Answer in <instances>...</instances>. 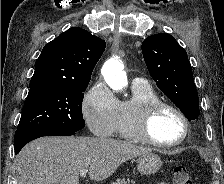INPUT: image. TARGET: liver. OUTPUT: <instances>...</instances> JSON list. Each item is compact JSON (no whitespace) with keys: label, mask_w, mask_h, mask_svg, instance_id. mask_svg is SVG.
Here are the masks:
<instances>
[{"label":"liver","mask_w":224,"mask_h":184,"mask_svg":"<svg viewBox=\"0 0 224 184\" xmlns=\"http://www.w3.org/2000/svg\"><path fill=\"white\" fill-rule=\"evenodd\" d=\"M150 152L111 138L41 137L20 151L14 165L18 184H79L82 169L102 181L125 161Z\"/></svg>","instance_id":"1"}]
</instances>
